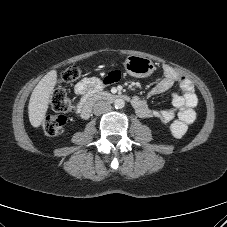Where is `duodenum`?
<instances>
[{
  "instance_id": "1",
  "label": "duodenum",
  "mask_w": 227,
  "mask_h": 227,
  "mask_svg": "<svg viewBox=\"0 0 227 227\" xmlns=\"http://www.w3.org/2000/svg\"><path fill=\"white\" fill-rule=\"evenodd\" d=\"M119 98H123L121 95L112 94L109 92H95L88 95L80 106V115L82 118L87 119L92 111L93 106L98 102H113Z\"/></svg>"
}]
</instances>
